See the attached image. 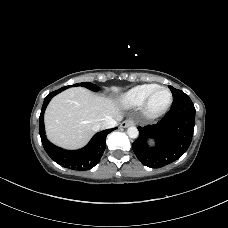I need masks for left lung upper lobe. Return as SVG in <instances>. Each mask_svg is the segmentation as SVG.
I'll use <instances>...</instances> for the list:
<instances>
[{"label":"left lung upper lobe","instance_id":"1","mask_svg":"<svg viewBox=\"0 0 228 228\" xmlns=\"http://www.w3.org/2000/svg\"><path fill=\"white\" fill-rule=\"evenodd\" d=\"M169 88H170V90H171L172 95H173L174 98L180 97V96H185L186 95L183 91L178 90V89H175L172 86H169Z\"/></svg>","mask_w":228,"mask_h":228}]
</instances>
